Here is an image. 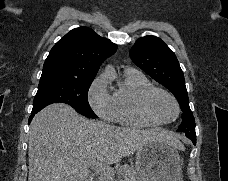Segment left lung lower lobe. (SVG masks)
<instances>
[{
    "mask_svg": "<svg viewBox=\"0 0 228 181\" xmlns=\"http://www.w3.org/2000/svg\"><path fill=\"white\" fill-rule=\"evenodd\" d=\"M186 133V136L192 140L193 144H196V134H195V131H190V130H187V131H184Z\"/></svg>",
    "mask_w": 228,
    "mask_h": 181,
    "instance_id": "0a47b994",
    "label": "left lung lower lobe"
}]
</instances>
